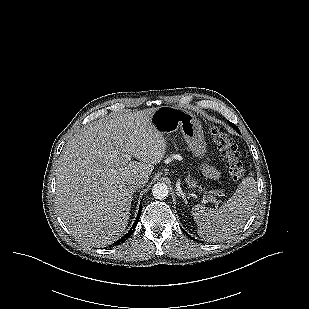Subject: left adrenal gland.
Masks as SVG:
<instances>
[{"label": "left adrenal gland", "instance_id": "a2214340", "mask_svg": "<svg viewBox=\"0 0 309 309\" xmlns=\"http://www.w3.org/2000/svg\"><path fill=\"white\" fill-rule=\"evenodd\" d=\"M182 198H183V199L185 200V202H187V201H186V198H185V196H182Z\"/></svg>", "mask_w": 309, "mask_h": 309}]
</instances>
